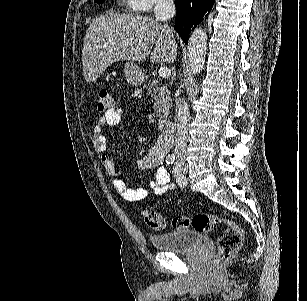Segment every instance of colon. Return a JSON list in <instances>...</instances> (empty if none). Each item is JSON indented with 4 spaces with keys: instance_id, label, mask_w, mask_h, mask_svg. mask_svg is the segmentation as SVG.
<instances>
[{
    "instance_id": "colon-1",
    "label": "colon",
    "mask_w": 307,
    "mask_h": 301,
    "mask_svg": "<svg viewBox=\"0 0 307 301\" xmlns=\"http://www.w3.org/2000/svg\"><path fill=\"white\" fill-rule=\"evenodd\" d=\"M96 107L99 112H106L112 107L111 97L106 90L99 91ZM143 219L145 224L154 230H162L166 226L164 217L155 210H145ZM220 224L225 225L226 228L218 237L219 251L216 257L218 264L228 260L242 248L244 232L238 224L208 212L198 213L192 217L177 216L172 221L176 229L191 227L200 233L210 232Z\"/></svg>"
}]
</instances>
